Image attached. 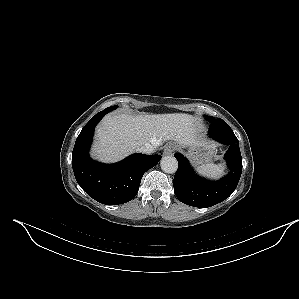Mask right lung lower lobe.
I'll list each match as a JSON object with an SVG mask.
<instances>
[{
  "label": "right lung lower lobe",
  "mask_w": 299,
  "mask_h": 299,
  "mask_svg": "<svg viewBox=\"0 0 299 299\" xmlns=\"http://www.w3.org/2000/svg\"><path fill=\"white\" fill-rule=\"evenodd\" d=\"M109 108L97 113L83 127L72 152V167L81 188L94 200L117 205L132 200L138 190L143 174L154 167L161 155L133 154L115 164H102L89 157L95 126Z\"/></svg>",
  "instance_id": "right-lung-lower-lobe-1"
}]
</instances>
